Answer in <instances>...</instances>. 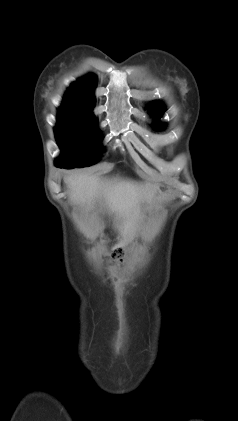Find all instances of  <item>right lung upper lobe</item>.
Returning <instances> with one entry per match:
<instances>
[{
  "label": "right lung upper lobe",
  "mask_w": 238,
  "mask_h": 421,
  "mask_svg": "<svg viewBox=\"0 0 238 421\" xmlns=\"http://www.w3.org/2000/svg\"><path fill=\"white\" fill-rule=\"evenodd\" d=\"M97 83L94 75H88L73 83L65 94V101L94 104L93 90Z\"/></svg>",
  "instance_id": "right-lung-upper-lobe-1"
}]
</instances>
